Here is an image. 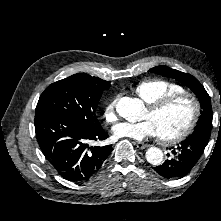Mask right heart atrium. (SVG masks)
<instances>
[{
  "instance_id": "right-heart-atrium-1",
  "label": "right heart atrium",
  "mask_w": 221,
  "mask_h": 221,
  "mask_svg": "<svg viewBox=\"0 0 221 221\" xmlns=\"http://www.w3.org/2000/svg\"><path fill=\"white\" fill-rule=\"evenodd\" d=\"M116 102L117 98L114 97L104 107L103 117L107 123H114L117 120Z\"/></svg>"
}]
</instances>
